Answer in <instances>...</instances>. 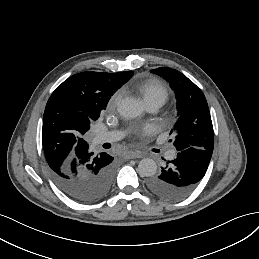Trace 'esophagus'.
<instances>
[{
    "mask_svg": "<svg viewBox=\"0 0 259 259\" xmlns=\"http://www.w3.org/2000/svg\"><path fill=\"white\" fill-rule=\"evenodd\" d=\"M142 157H143L142 153L135 152V151H128L125 154V158H127V159H136V158H142Z\"/></svg>",
    "mask_w": 259,
    "mask_h": 259,
    "instance_id": "1",
    "label": "esophagus"
}]
</instances>
